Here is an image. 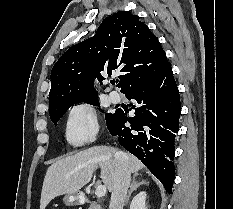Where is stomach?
<instances>
[{
  "mask_svg": "<svg viewBox=\"0 0 233 209\" xmlns=\"http://www.w3.org/2000/svg\"><path fill=\"white\" fill-rule=\"evenodd\" d=\"M81 195L76 193L66 194L63 198L64 204L67 206H74L80 203Z\"/></svg>",
  "mask_w": 233,
  "mask_h": 209,
  "instance_id": "1",
  "label": "stomach"
}]
</instances>
